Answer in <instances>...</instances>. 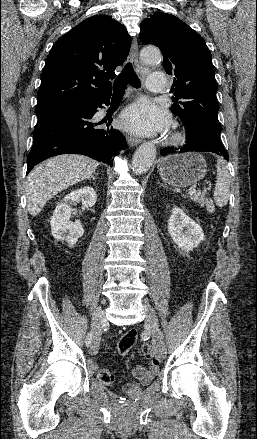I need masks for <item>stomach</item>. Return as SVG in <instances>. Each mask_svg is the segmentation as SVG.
<instances>
[{"label": "stomach", "mask_w": 257, "mask_h": 439, "mask_svg": "<svg viewBox=\"0 0 257 439\" xmlns=\"http://www.w3.org/2000/svg\"><path fill=\"white\" fill-rule=\"evenodd\" d=\"M158 171L167 184L187 187L205 176L207 165L200 153L182 152L162 158L158 163Z\"/></svg>", "instance_id": "1"}]
</instances>
